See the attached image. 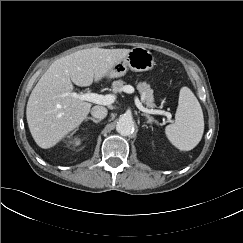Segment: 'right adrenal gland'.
<instances>
[{
	"mask_svg": "<svg viewBox=\"0 0 243 243\" xmlns=\"http://www.w3.org/2000/svg\"><path fill=\"white\" fill-rule=\"evenodd\" d=\"M87 120H92L94 123H99L101 121L100 119H95V118H92V117H86V121Z\"/></svg>",
	"mask_w": 243,
	"mask_h": 243,
	"instance_id": "1",
	"label": "right adrenal gland"
}]
</instances>
